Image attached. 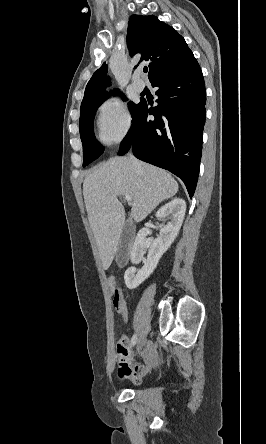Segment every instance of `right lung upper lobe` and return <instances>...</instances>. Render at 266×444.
Here are the masks:
<instances>
[{
	"mask_svg": "<svg viewBox=\"0 0 266 444\" xmlns=\"http://www.w3.org/2000/svg\"><path fill=\"white\" fill-rule=\"evenodd\" d=\"M127 45L131 56L141 53L140 61L149 62L150 82L155 77L184 66L194 59L184 38L173 27L153 15L130 17ZM109 84L107 65L103 63L88 82L82 103L107 94L105 90Z\"/></svg>",
	"mask_w": 266,
	"mask_h": 444,
	"instance_id": "cb5924a9",
	"label": "right lung upper lobe"
}]
</instances>
